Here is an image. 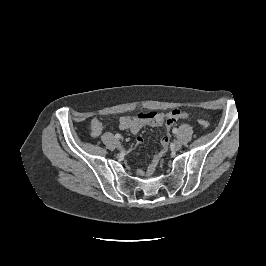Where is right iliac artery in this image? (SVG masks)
I'll return each instance as SVG.
<instances>
[{"label":"right iliac artery","instance_id":"1","mask_svg":"<svg viewBox=\"0 0 266 266\" xmlns=\"http://www.w3.org/2000/svg\"><path fill=\"white\" fill-rule=\"evenodd\" d=\"M121 137H122V136H121L120 134H118V133L115 134V138H116V139H120Z\"/></svg>","mask_w":266,"mask_h":266}]
</instances>
